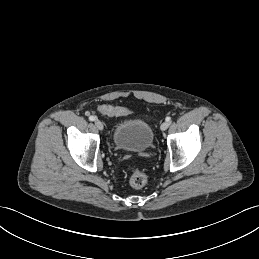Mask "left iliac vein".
Returning <instances> with one entry per match:
<instances>
[{
  "mask_svg": "<svg viewBox=\"0 0 259 259\" xmlns=\"http://www.w3.org/2000/svg\"><path fill=\"white\" fill-rule=\"evenodd\" d=\"M169 127V123L166 121V122H163L160 126V129L162 131H165L167 128Z\"/></svg>",
  "mask_w": 259,
  "mask_h": 259,
  "instance_id": "obj_1",
  "label": "left iliac vein"
}]
</instances>
